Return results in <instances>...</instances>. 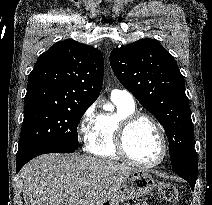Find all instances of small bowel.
I'll list each match as a JSON object with an SVG mask.
<instances>
[{"label":"small bowel","mask_w":212,"mask_h":205,"mask_svg":"<svg viewBox=\"0 0 212 205\" xmlns=\"http://www.w3.org/2000/svg\"><path fill=\"white\" fill-rule=\"evenodd\" d=\"M135 205H149L148 203H138V204H135Z\"/></svg>","instance_id":"1"}]
</instances>
